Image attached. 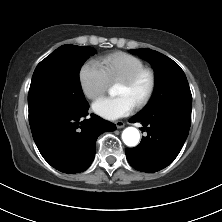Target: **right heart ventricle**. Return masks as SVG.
<instances>
[{"mask_svg":"<svg viewBox=\"0 0 222 222\" xmlns=\"http://www.w3.org/2000/svg\"><path fill=\"white\" fill-rule=\"evenodd\" d=\"M109 82L120 81L144 67L143 61L131 54L115 52L100 59Z\"/></svg>","mask_w":222,"mask_h":222,"instance_id":"e07e8e85","label":"right heart ventricle"}]
</instances>
